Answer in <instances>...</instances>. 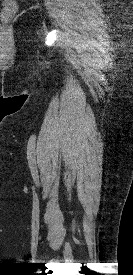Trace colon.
I'll use <instances>...</instances> for the list:
<instances>
[{"instance_id": "5ec220e1", "label": "colon", "mask_w": 133, "mask_h": 275, "mask_svg": "<svg viewBox=\"0 0 133 275\" xmlns=\"http://www.w3.org/2000/svg\"><path fill=\"white\" fill-rule=\"evenodd\" d=\"M2 16L11 17L16 12V4L14 0H4Z\"/></svg>"}]
</instances>
